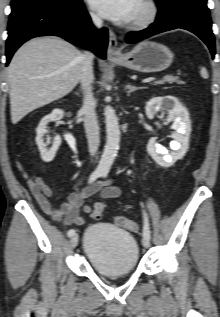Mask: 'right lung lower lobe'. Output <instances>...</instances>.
Returning a JSON list of instances; mask_svg holds the SVG:
<instances>
[{
  "label": "right lung lower lobe",
  "instance_id": "98d812e1",
  "mask_svg": "<svg viewBox=\"0 0 220 317\" xmlns=\"http://www.w3.org/2000/svg\"><path fill=\"white\" fill-rule=\"evenodd\" d=\"M8 34L6 65L24 42L44 35L60 36L75 45L92 49L101 58L106 57L107 29L95 30L82 2L71 8L36 5L12 11Z\"/></svg>",
  "mask_w": 220,
  "mask_h": 317
}]
</instances>
